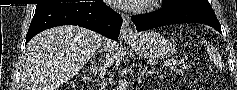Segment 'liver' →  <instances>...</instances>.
<instances>
[{
	"mask_svg": "<svg viewBox=\"0 0 237 90\" xmlns=\"http://www.w3.org/2000/svg\"><path fill=\"white\" fill-rule=\"evenodd\" d=\"M114 42L79 26L45 30L30 40L22 56V90H58L94 58L97 50L112 58Z\"/></svg>",
	"mask_w": 237,
	"mask_h": 90,
	"instance_id": "obj_1",
	"label": "liver"
}]
</instances>
